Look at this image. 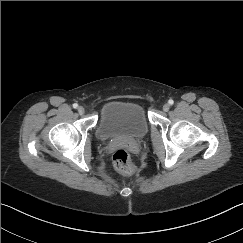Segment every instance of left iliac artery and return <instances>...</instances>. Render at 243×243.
Returning <instances> with one entry per match:
<instances>
[{"mask_svg": "<svg viewBox=\"0 0 243 243\" xmlns=\"http://www.w3.org/2000/svg\"><path fill=\"white\" fill-rule=\"evenodd\" d=\"M168 103H169L170 105H173L174 101H173L172 99H170V100L168 101Z\"/></svg>", "mask_w": 243, "mask_h": 243, "instance_id": "44dca946", "label": "left iliac artery"}]
</instances>
